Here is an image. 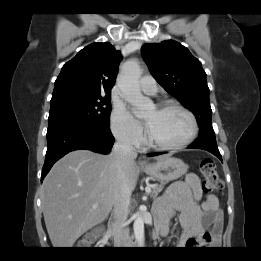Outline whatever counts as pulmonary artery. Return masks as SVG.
I'll return each instance as SVG.
<instances>
[{
    "label": "pulmonary artery",
    "mask_w": 261,
    "mask_h": 261,
    "mask_svg": "<svg viewBox=\"0 0 261 261\" xmlns=\"http://www.w3.org/2000/svg\"><path fill=\"white\" fill-rule=\"evenodd\" d=\"M139 86L145 94L154 95L157 92V83L152 76H143L139 81Z\"/></svg>",
    "instance_id": "obj_1"
}]
</instances>
